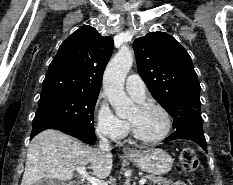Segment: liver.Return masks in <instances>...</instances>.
Here are the masks:
<instances>
[{"instance_id": "6515ba94", "label": "liver", "mask_w": 233, "mask_h": 185, "mask_svg": "<svg viewBox=\"0 0 233 185\" xmlns=\"http://www.w3.org/2000/svg\"><path fill=\"white\" fill-rule=\"evenodd\" d=\"M113 155L75 140L58 130L48 129L37 134L28 150L21 185H37L43 179L69 181L79 166L90 164L98 179L109 176Z\"/></svg>"}]
</instances>
